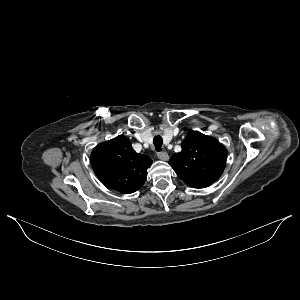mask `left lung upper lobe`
I'll list each match as a JSON object with an SVG mask.
<instances>
[{
  "label": "left lung upper lobe",
  "instance_id": "5c2ea615",
  "mask_svg": "<svg viewBox=\"0 0 300 300\" xmlns=\"http://www.w3.org/2000/svg\"><path fill=\"white\" fill-rule=\"evenodd\" d=\"M226 159V149L215 138L191 130L169 164L188 186L205 188L222 175Z\"/></svg>",
  "mask_w": 300,
  "mask_h": 300
}]
</instances>
